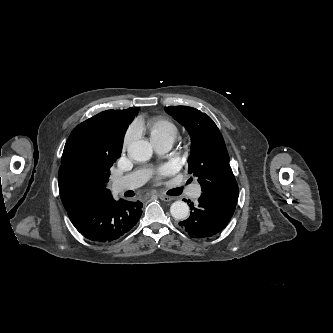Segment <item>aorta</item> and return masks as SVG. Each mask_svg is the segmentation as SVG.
Instances as JSON below:
<instances>
[{
  "mask_svg": "<svg viewBox=\"0 0 333 333\" xmlns=\"http://www.w3.org/2000/svg\"><path fill=\"white\" fill-rule=\"evenodd\" d=\"M152 154L153 149L148 141L138 140L128 146V156L136 161H147ZM170 212L175 219L185 220L189 216V206L184 201L178 200L171 204Z\"/></svg>",
  "mask_w": 333,
  "mask_h": 333,
  "instance_id": "obj_1",
  "label": "aorta"
}]
</instances>
